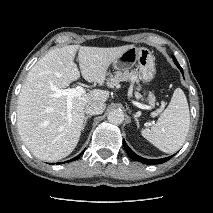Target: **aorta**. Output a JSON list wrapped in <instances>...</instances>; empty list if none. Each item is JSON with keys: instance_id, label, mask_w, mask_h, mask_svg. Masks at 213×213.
I'll return each mask as SVG.
<instances>
[{"instance_id": "1", "label": "aorta", "mask_w": 213, "mask_h": 213, "mask_svg": "<svg viewBox=\"0 0 213 213\" xmlns=\"http://www.w3.org/2000/svg\"><path fill=\"white\" fill-rule=\"evenodd\" d=\"M107 119L112 124H121L124 121V113L121 110H112L108 113Z\"/></svg>"}]
</instances>
